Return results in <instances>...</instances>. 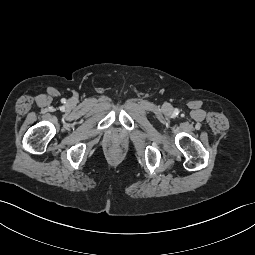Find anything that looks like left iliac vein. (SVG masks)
Listing matches in <instances>:
<instances>
[{
    "instance_id": "obj_1",
    "label": "left iliac vein",
    "mask_w": 255,
    "mask_h": 255,
    "mask_svg": "<svg viewBox=\"0 0 255 255\" xmlns=\"http://www.w3.org/2000/svg\"><path fill=\"white\" fill-rule=\"evenodd\" d=\"M164 108H165V111H166V112H170V111L172 110V109H171V106L168 105V104L165 105Z\"/></svg>"
}]
</instances>
